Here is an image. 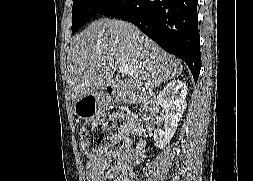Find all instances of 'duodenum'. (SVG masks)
<instances>
[{"label": "duodenum", "instance_id": "1", "mask_svg": "<svg viewBox=\"0 0 253 181\" xmlns=\"http://www.w3.org/2000/svg\"><path fill=\"white\" fill-rule=\"evenodd\" d=\"M108 95L111 100H123L124 91L118 89L108 88ZM142 106V121L146 130H153L156 124V114H155V99L151 96L145 95L140 101Z\"/></svg>", "mask_w": 253, "mask_h": 181}]
</instances>
